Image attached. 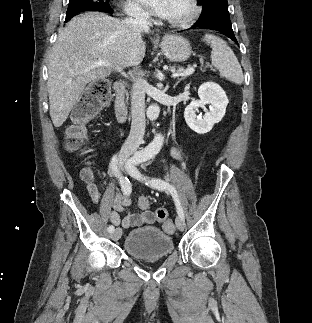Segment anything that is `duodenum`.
<instances>
[{
    "mask_svg": "<svg viewBox=\"0 0 312 323\" xmlns=\"http://www.w3.org/2000/svg\"><path fill=\"white\" fill-rule=\"evenodd\" d=\"M114 91V112L117 119L124 123L128 117L127 103H126V88L122 81H116L113 85Z\"/></svg>",
    "mask_w": 312,
    "mask_h": 323,
    "instance_id": "duodenum-1",
    "label": "duodenum"
}]
</instances>
